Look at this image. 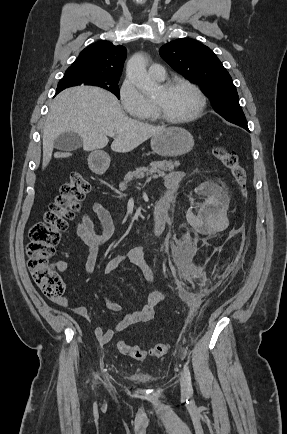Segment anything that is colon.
Here are the masks:
<instances>
[{
  "instance_id": "obj_1",
  "label": "colon",
  "mask_w": 287,
  "mask_h": 434,
  "mask_svg": "<svg viewBox=\"0 0 287 434\" xmlns=\"http://www.w3.org/2000/svg\"><path fill=\"white\" fill-rule=\"evenodd\" d=\"M213 155L231 172L239 191L245 194L247 172L237 153L223 146H215ZM89 190L90 185L82 173L78 170L73 171L49 205L43 220L35 223L29 231L28 268L33 281L48 298H60L65 290L63 280L50 267L49 261L54 255L60 233L66 230L68 221L79 211L81 202ZM117 349L123 355L142 361L148 357L158 358L167 354L169 346L159 343L144 349L119 341Z\"/></svg>"
}]
</instances>
